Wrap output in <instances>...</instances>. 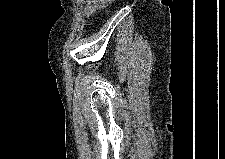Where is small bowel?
Returning <instances> with one entry per match:
<instances>
[{"label":"small bowel","mask_w":225,"mask_h":159,"mask_svg":"<svg viewBox=\"0 0 225 159\" xmlns=\"http://www.w3.org/2000/svg\"><path fill=\"white\" fill-rule=\"evenodd\" d=\"M106 4V0H91L85 3L83 10L87 15H93L98 10L105 7Z\"/></svg>","instance_id":"obj_1"}]
</instances>
